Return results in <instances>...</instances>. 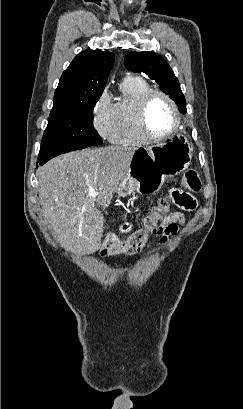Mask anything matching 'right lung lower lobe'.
<instances>
[{
	"mask_svg": "<svg viewBox=\"0 0 243 409\" xmlns=\"http://www.w3.org/2000/svg\"><path fill=\"white\" fill-rule=\"evenodd\" d=\"M90 146H70V147H52V146H41L39 156H38V164L43 165L48 160L56 157L60 154L84 149ZM38 167V165H37Z\"/></svg>",
	"mask_w": 243,
	"mask_h": 409,
	"instance_id": "1",
	"label": "right lung lower lobe"
}]
</instances>
